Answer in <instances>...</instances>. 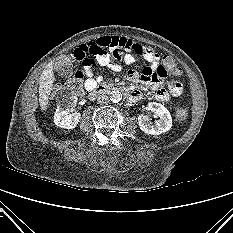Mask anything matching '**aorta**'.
<instances>
[{
    "label": "aorta",
    "instance_id": "1",
    "mask_svg": "<svg viewBox=\"0 0 233 233\" xmlns=\"http://www.w3.org/2000/svg\"><path fill=\"white\" fill-rule=\"evenodd\" d=\"M122 99V93L118 90H114L110 93V100L114 103H118Z\"/></svg>",
    "mask_w": 233,
    "mask_h": 233
}]
</instances>
